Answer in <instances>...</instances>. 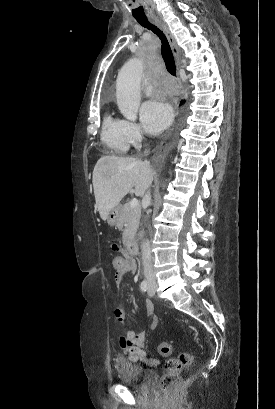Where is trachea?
<instances>
[{
    "instance_id": "1",
    "label": "trachea",
    "mask_w": 275,
    "mask_h": 409,
    "mask_svg": "<svg viewBox=\"0 0 275 409\" xmlns=\"http://www.w3.org/2000/svg\"><path fill=\"white\" fill-rule=\"evenodd\" d=\"M137 22L142 27L153 31V33H155L161 39L162 42L161 52L166 68L171 75L176 76L175 60L166 36L163 34V32H161V30L155 27V25H152V23H150L148 19L137 20Z\"/></svg>"
}]
</instances>
